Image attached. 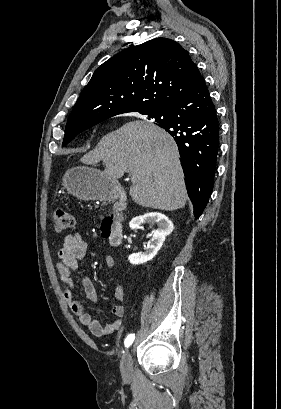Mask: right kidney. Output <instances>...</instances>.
Listing matches in <instances>:
<instances>
[{
	"mask_svg": "<svg viewBox=\"0 0 281 409\" xmlns=\"http://www.w3.org/2000/svg\"><path fill=\"white\" fill-rule=\"evenodd\" d=\"M142 223H157L158 229L154 231L152 239L148 241L144 253L129 255L128 261L131 265H141V263L151 261L157 255L159 249H161L167 235H170L174 229L172 221H169L168 217L162 215V213H145V215H140V217H134L130 221L129 227L130 229H137Z\"/></svg>",
	"mask_w": 281,
	"mask_h": 409,
	"instance_id": "1",
	"label": "right kidney"
}]
</instances>
